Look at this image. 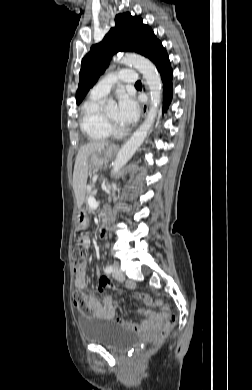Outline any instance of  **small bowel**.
<instances>
[{
    "instance_id": "c3829d8e",
    "label": "small bowel",
    "mask_w": 252,
    "mask_h": 390,
    "mask_svg": "<svg viewBox=\"0 0 252 390\" xmlns=\"http://www.w3.org/2000/svg\"><path fill=\"white\" fill-rule=\"evenodd\" d=\"M79 241L82 243V246L88 248L90 246V238L87 235L82 236ZM74 286L76 289L83 290L89 289V281L86 271H82L75 275ZM112 285L108 278L101 277L99 280L98 289L104 292V295L101 299L97 298L95 294L89 293L88 295V304L91 307L94 316L99 317L104 320H111L120 326L132 329L138 334H141L146 337H151L156 334L162 325L164 315L161 312H157L153 309V303L148 298L144 301L146 308L139 311L141 319L139 321L133 320H124L116 316L115 310L116 305L113 303L111 295ZM157 305H161L160 302Z\"/></svg>"
}]
</instances>
